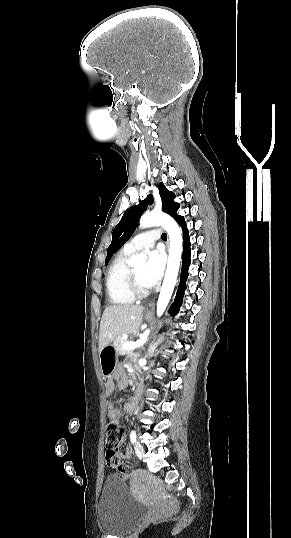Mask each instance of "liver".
Instances as JSON below:
<instances>
[{
	"mask_svg": "<svg viewBox=\"0 0 291 538\" xmlns=\"http://www.w3.org/2000/svg\"><path fill=\"white\" fill-rule=\"evenodd\" d=\"M143 311L140 305L107 306L100 322L99 351L123 334L135 332L142 323Z\"/></svg>",
	"mask_w": 291,
	"mask_h": 538,
	"instance_id": "6515ba94",
	"label": "liver"
}]
</instances>
